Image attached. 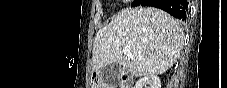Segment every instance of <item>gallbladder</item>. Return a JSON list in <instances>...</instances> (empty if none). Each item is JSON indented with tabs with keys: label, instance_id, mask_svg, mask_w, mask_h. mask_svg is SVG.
<instances>
[{
	"label": "gallbladder",
	"instance_id": "bac80fb5",
	"mask_svg": "<svg viewBox=\"0 0 227 88\" xmlns=\"http://www.w3.org/2000/svg\"><path fill=\"white\" fill-rule=\"evenodd\" d=\"M102 79L110 87H115L119 83V66L116 63L107 65L102 69Z\"/></svg>",
	"mask_w": 227,
	"mask_h": 88
}]
</instances>
